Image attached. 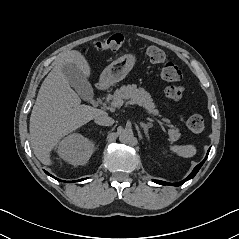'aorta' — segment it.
Masks as SVG:
<instances>
[{
    "mask_svg": "<svg viewBox=\"0 0 239 239\" xmlns=\"http://www.w3.org/2000/svg\"><path fill=\"white\" fill-rule=\"evenodd\" d=\"M134 139V134L131 129H123L119 134V140L121 143H131Z\"/></svg>",
    "mask_w": 239,
    "mask_h": 239,
    "instance_id": "obj_1",
    "label": "aorta"
}]
</instances>
